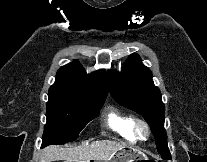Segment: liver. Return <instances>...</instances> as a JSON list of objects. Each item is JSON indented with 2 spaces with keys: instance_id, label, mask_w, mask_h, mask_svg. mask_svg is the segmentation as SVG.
<instances>
[{
  "instance_id": "obj_1",
  "label": "liver",
  "mask_w": 207,
  "mask_h": 162,
  "mask_svg": "<svg viewBox=\"0 0 207 162\" xmlns=\"http://www.w3.org/2000/svg\"><path fill=\"white\" fill-rule=\"evenodd\" d=\"M124 143L111 140L95 141L90 144L84 143L77 147L64 148L59 145H51L43 150L41 162L64 160L65 162H91L107 161L121 148Z\"/></svg>"
}]
</instances>
